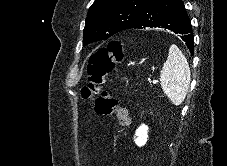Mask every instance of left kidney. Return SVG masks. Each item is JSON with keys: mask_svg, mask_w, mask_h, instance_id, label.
<instances>
[{"mask_svg": "<svg viewBox=\"0 0 227 166\" xmlns=\"http://www.w3.org/2000/svg\"><path fill=\"white\" fill-rule=\"evenodd\" d=\"M136 138H134L135 144L142 147L146 144L148 139V126L142 124L135 132Z\"/></svg>", "mask_w": 227, "mask_h": 166, "instance_id": "5707ae66", "label": "left kidney"}]
</instances>
